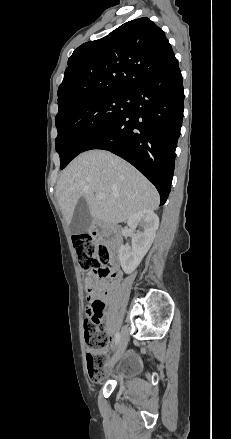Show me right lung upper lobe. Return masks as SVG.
Masks as SVG:
<instances>
[{"instance_id":"right-lung-upper-lobe-1","label":"right lung upper lobe","mask_w":231,"mask_h":439,"mask_svg":"<svg viewBox=\"0 0 231 439\" xmlns=\"http://www.w3.org/2000/svg\"><path fill=\"white\" fill-rule=\"evenodd\" d=\"M175 59L165 33L149 18L126 22L75 49L58 89V114L93 97L132 94Z\"/></svg>"}]
</instances>
